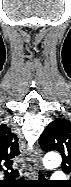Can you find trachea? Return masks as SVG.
Listing matches in <instances>:
<instances>
[{
    "label": "trachea",
    "mask_w": 71,
    "mask_h": 187,
    "mask_svg": "<svg viewBox=\"0 0 71 187\" xmlns=\"http://www.w3.org/2000/svg\"><path fill=\"white\" fill-rule=\"evenodd\" d=\"M39 179H44V176L39 172Z\"/></svg>",
    "instance_id": "1"
}]
</instances>
